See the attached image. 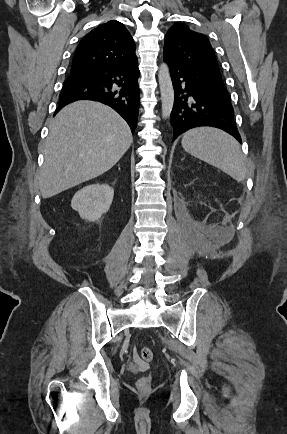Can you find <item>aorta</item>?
I'll use <instances>...</instances> for the list:
<instances>
[{
	"instance_id": "aorta-1",
	"label": "aorta",
	"mask_w": 287,
	"mask_h": 434,
	"mask_svg": "<svg viewBox=\"0 0 287 434\" xmlns=\"http://www.w3.org/2000/svg\"><path fill=\"white\" fill-rule=\"evenodd\" d=\"M158 80L162 102V117L167 119L174 105V88L170 77L169 67L166 63H162L159 72Z\"/></svg>"
}]
</instances>
